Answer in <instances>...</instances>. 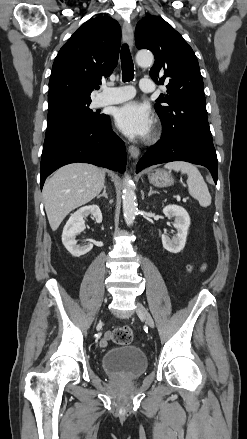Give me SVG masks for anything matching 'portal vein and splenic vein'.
Segmentation results:
<instances>
[{
  "label": "portal vein and splenic vein",
  "instance_id": "1",
  "mask_svg": "<svg viewBox=\"0 0 247 439\" xmlns=\"http://www.w3.org/2000/svg\"><path fill=\"white\" fill-rule=\"evenodd\" d=\"M183 201L186 202V198H184Z\"/></svg>",
  "mask_w": 247,
  "mask_h": 439
}]
</instances>
